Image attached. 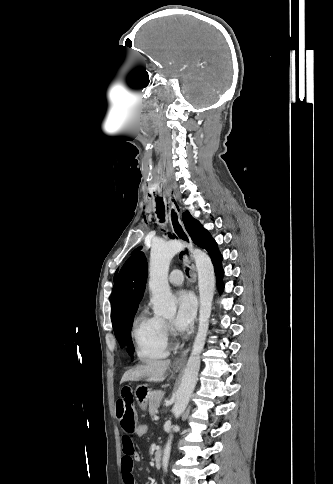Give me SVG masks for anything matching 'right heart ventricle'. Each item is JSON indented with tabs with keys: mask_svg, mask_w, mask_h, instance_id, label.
<instances>
[{
	"mask_svg": "<svg viewBox=\"0 0 333 484\" xmlns=\"http://www.w3.org/2000/svg\"><path fill=\"white\" fill-rule=\"evenodd\" d=\"M132 334L137 357L143 362L165 358L168 354L164 320L143 308L133 322Z\"/></svg>",
	"mask_w": 333,
	"mask_h": 484,
	"instance_id": "e07e8e85",
	"label": "right heart ventricle"
}]
</instances>
